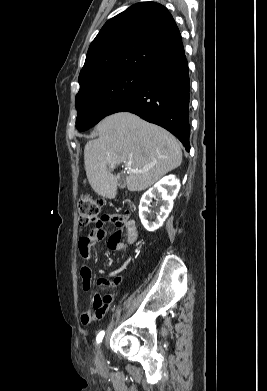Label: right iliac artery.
<instances>
[{
	"label": "right iliac artery",
	"mask_w": 267,
	"mask_h": 391,
	"mask_svg": "<svg viewBox=\"0 0 267 391\" xmlns=\"http://www.w3.org/2000/svg\"><path fill=\"white\" fill-rule=\"evenodd\" d=\"M104 337V331H101L97 336V343H100Z\"/></svg>",
	"instance_id": "1"
}]
</instances>
